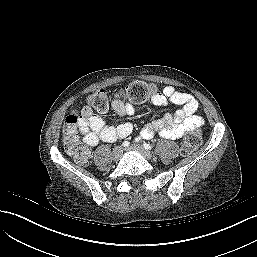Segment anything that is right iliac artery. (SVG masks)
Here are the masks:
<instances>
[{"label": "right iliac artery", "mask_w": 257, "mask_h": 257, "mask_svg": "<svg viewBox=\"0 0 257 257\" xmlns=\"http://www.w3.org/2000/svg\"><path fill=\"white\" fill-rule=\"evenodd\" d=\"M129 144H130V143H129L128 141H124V142L122 143V146L126 148V147L129 146Z\"/></svg>", "instance_id": "82829eb1"}]
</instances>
